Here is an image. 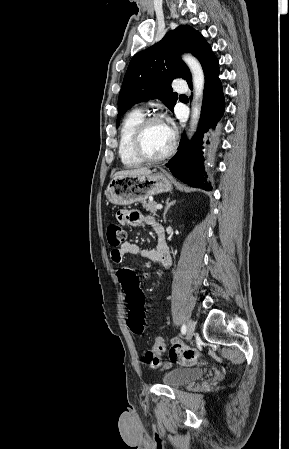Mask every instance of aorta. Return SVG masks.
I'll return each mask as SVG.
<instances>
[{
	"label": "aorta",
	"mask_w": 289,
	"mask_h": 449,
	"mask_svg": "<svg viewBox=\"0 0 289 449\" xmlns=\"http://www.w3.org/2000/svg\"><path fill=\"white\" fill-rule=\"evenodd\" d=\"M183 60L188 65L192 74V81L194 88V104L192 106L191 126L194 129L200 117L201 103L199 102L202 100L203 97V90L205 83L204 72L200 62L194 56L190 54H185L183 56Z\"/></svg>",
	"instance_id": "1"
}]
</instances>
